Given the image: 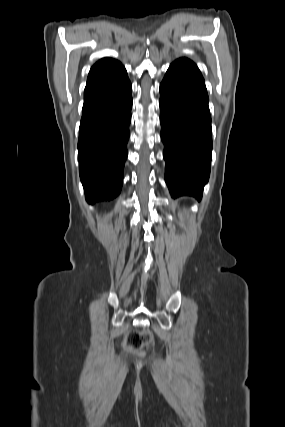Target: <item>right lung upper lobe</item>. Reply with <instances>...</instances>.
I'll list each match as a JSON object with an SVG mask.
<instances>
[{
    "label": "right lung upper lobe",
    "mask_w": 285,
    "mask_h": 427,
    "mask_svg": "<svg viewBox=\"0 0 285 427\" xmlns=\"http://www.w3.org/2000/svg\"><path fill=\"white\" fill-rule=\"evenodd\" d=\"M121 67H122V64L115 59H112V58L100 59L98 62H96L92 66L88 75L87 82L110 75L111 73L115 72Z\"/></svg>",
    "instance_id": "right-lung-upper-lobe-1"
}]
</instances>
